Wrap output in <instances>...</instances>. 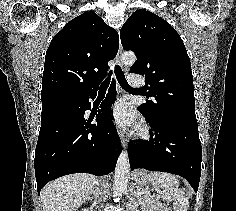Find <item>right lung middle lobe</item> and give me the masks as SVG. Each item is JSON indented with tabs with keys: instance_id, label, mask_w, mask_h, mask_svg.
Instances as JSON below:
<instances>
[{
	"instance_id": "dd1d6c3e",
	"label": "right lung middle lobe",
	"mask_w": 236,
	"mask_h": 211,
	"mask_svg": "<svg viewBox=\"0 0 236 211\" xmlns=\"http://www.w3.org/2000/svg\"><path fill=\"white\" fill-rule=\"evenodd\" d=\"M65 100H67V99H63V100H56V101H54V102H57V101H65Z\"/></svg>"
}]
</instances>
